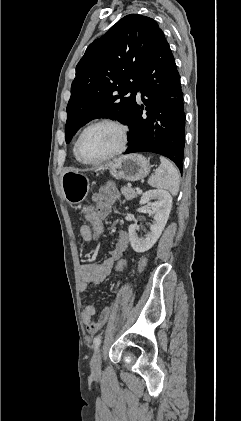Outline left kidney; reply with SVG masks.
Wrapping results in <instances>:
<instances>
[{"label":"left kidney","instance_id":"obj_1","mask_svg":"<svg viewBox=\"0 0 241 421\" xmlns=\"http://www.w3.org/2000/svg\"><path fill=\"white\" fill-rule=\"evenodd\" d=\"M155 199V202L149 203ZM142 204L149 203L154 214V222L150 227V232L145 238L138 237V227L131 224L128 228L131 247L137 253L148 251L160 237L172 208V196L165 190H149L143 193L140 202Z\"/></svg>","mask_w":241,"mask_h":421}]
</instances>
